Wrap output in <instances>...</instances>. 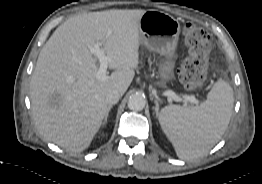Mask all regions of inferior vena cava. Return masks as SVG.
I'll return each instance as SVG.
<instances>
[{"instance_id": "inferior-vena-cava-1", "label": "inferior vena cava", "mask_w": 262, "mask_h": 184, "mask_svg": "<svg viewBox=\"0 0 262 184\" xmlns=\"http://www.w3.org/2000/svg\"><path fill=\"white\" fill-rule=\"evenodd\" d=\"M121 97V94L118 90L113 89L107 92L106 102L110 105L116 104Z\"/></svg>"}]
</instances>
